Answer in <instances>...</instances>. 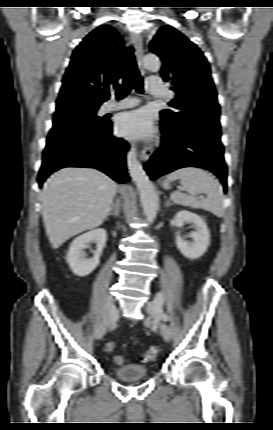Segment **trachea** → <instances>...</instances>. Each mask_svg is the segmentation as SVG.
<instances>
[{
	"label": "trachea",
	"mask_w": 273,
	"mask_h": 430,
	"mask_svg": "<svg viewBox=\"0 0 273 430\" xmlns=\"http://www.w3.org/2000/svg\"><path fill=\"white\" fill-rule=\"evenodd\" d=\"M133 52L134 49L130 47L126 55L123 84L116 92L117 99L126 97L129 94L131 87H134L139 93H143V79L138 71Z\"/></svg>",
	"instance_id": "obj_1"
}]
</instances>
